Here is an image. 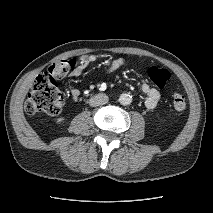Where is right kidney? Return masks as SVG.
<instances>
[{
    "mask_svg": "<svg viewBox=\"0 0 213 213\" xmlns=\"http://www.w3.org/2000/svg\"><path fill=\"white\" fill-rule=\"evenodd\" d=\"M63 120H64V118L60 117V118L57 119V123H61Z\"/></svg>",
    "mask_w": 213,
    "mask_h": 213,
    "instance_id": "1",
    "label": "right kidney"
}]
</instances>
